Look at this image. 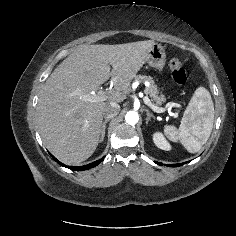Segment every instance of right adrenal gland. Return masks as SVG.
I'll return each mask as SVG.
<instances>
[{"label": "right adrenal gland", "instance_id": "obj_1", "mask_svg": "<svg viewBox=\"0 0 236 236\" xmlns=\"http://www.w3.org/2000/svg\"><path fill=\"white\" fill-rule=\"evenodd\" d=\"M109 121V119H106L103 124H102V131H101V137H100V141L104 140L105 137V130H106V124Z\"/></svg>", "mask_w": 236, "mask_h": 236}]
</instances>
